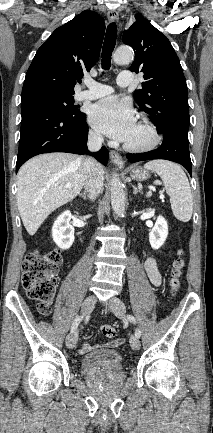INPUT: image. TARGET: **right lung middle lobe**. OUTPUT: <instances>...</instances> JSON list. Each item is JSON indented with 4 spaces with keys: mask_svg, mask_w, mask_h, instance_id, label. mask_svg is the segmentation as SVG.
<instances>
[{
    "mask_svg": "<svg viewBox=\"0 0 213 433\" xmlns=\"http://www.w3.org/2000/svg\"><path fill=\"white\" fill-rule=\"evenodd\" d=\"M21 101H34L50 105L63 114L72 118H79L84 113H81L77 106H74L72 95H61L49 92H36L26 96H21Z\"/></svg>",
    "mask_w": 213,
    "mask_h": 433,
    "instance_id": "1",
    "label": "right lung middle lobe"
}]
</instances>
